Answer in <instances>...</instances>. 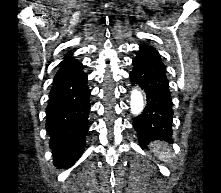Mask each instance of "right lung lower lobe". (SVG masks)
Segmentation results:
<instances>
[{
    "mask_svg": "<svg viewBox=\"0 0 221 193\" xmlns=\"http://www.w3.org/2000/svg\"><path fill=\"white\" fill-rule=\"evenodd\" d=\"M90 90L82 65L56 74L46 108V130L55 163L74 164L81 156L88 131Z\"/></svg>",
    "mask_w": 221,
    "mask_h": 193,
    "instance_id": "obj_1",
    "label": "right lung lower lobe"
}]
</instances>
